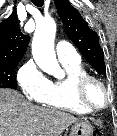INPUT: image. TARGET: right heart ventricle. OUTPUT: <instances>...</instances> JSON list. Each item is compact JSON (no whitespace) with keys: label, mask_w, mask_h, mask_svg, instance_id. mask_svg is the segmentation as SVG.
<instances>
[{"label":"right heart ventricle","mask_w":117,"mask_h":136,"mask_svg":"<svg viewBox=\"0 0 117 136\" xmlns=\"http://www.w3.org/2000/svg\"><path fill=\"white\" fill-rule=\"evenodd\" d=\"M62 63V62H61ZM62 65L66 70V76L62 79L50 81L49 90L44 104L64 110L70 113L86 115L90 114L75 99L73 93V81L76 77L86 74V71L79 62H63Z\"/></svg>","instance_id":"e07e8e85"}]
</instances>
